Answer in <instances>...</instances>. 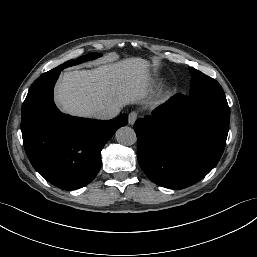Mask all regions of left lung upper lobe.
I'll use <instances>...</instances> for the list:
<instances>
[{"label":"left lung upper lobe","instance_id":"1","mask_svg":"<svg viewBox=\"0 0 257 257\" xmlns=\"http://www.w3.org/2000/svg\"><path fill=\"white\" fill-rule=\"evenodd\" d=\"M191 79L190 96H225L220 84L195 68L189 67Z\"/></svg>","mask_w":257,"mask_h":257}]
</instances>
